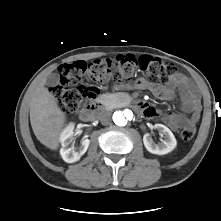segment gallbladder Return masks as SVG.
Segmentation results:
<instances>
[{
	"label": "gallbladder",
	"mask_w": 221,
	"mask_h": 221,
	"mask_svg": "<svg viewBox=\"0 0 221 221\" xmlns=\"http://www.w3.org/2000/svg\"><path fill=\"white\" fill-rule=\"evenodd\" d=\"M47 84L50 85V86H53L55 85L57 82H58V76L57 74L55 73H52L50 74L48 77H47Z\"/></svg>",
	"instance_id": "1"
}]
</instances>
